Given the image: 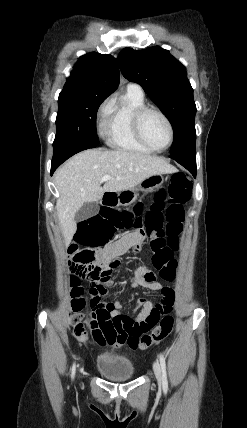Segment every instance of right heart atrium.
Here are the masks:
<instances>
[{"label":"right heart atrium","mask_w":247,"mask_h":428,"mask_svg":"<svg viewBox=\"0 0 247 428\" xmlns=\"http://www.w3.org/2000/svg\"><path fill=\"white\" fill-rule=\"evenodd\" d=\"M110 110H111V102L109 100L103 102L100 107L98 108V118L101 122V129L102 131L105 130V126H106V121L109 117L110 114Z\"/></svg>","instance_id":"d8ad5b80"}]
</instances>
